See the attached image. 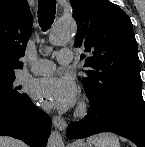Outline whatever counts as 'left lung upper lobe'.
Instances as JSON below:
<instances>
[{"mask_svg": "<svg viewBox=\"0 0 145 147\" xmlns=\"http://www.w3.org/2000/svg\"><path fill=\"white\" fill-rule=\"evenodd\" d=\"M70 3L78 28L74 45L90 55L83 78L90 105L100 109L121 95L141 91L137 42L128 15L109 0Z\"/></svg>", "mask_w": 145, "mask_h": 147, "instance_id": "left-lung-upper-lobe-1", "label": "left lung upper lobe"}]
</instances>
